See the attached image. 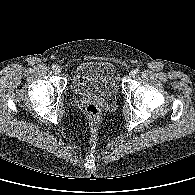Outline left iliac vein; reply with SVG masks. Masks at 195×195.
<instances>
[{"label": "left iliac vein", "mask_w": 195, "mask_h": 195, "mask_svg": "<svg viewBox=\"0 0 195 195\" xmlns=\"http://www.w3.org/2000/svg\"><path fill=\"white\" fill-rule=\"evenodd\" d=\"M134 76H135L134 71H131V72L129 73V77H134Z\"/></svg>", "instance_id": "obj_1"}]
</instances>
